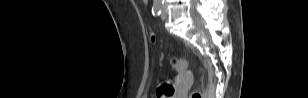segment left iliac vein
<instances>
[{
    "label": "left iliac vein",
    "mask_w": 308,
    "mask_h": 98,
    "mask_svg": "<svg viewBox=\"0 0 308 98\" xmlns=\"http://www.w3.org/2000/svg\"><path fill=\"white\" fill-rule=\"evenodd\" d=\"M167 16H168V14H167V10H166V8L165 7H162V12H161V19L162 20H166L167 19Z\"/></svg>",
    "instance_id": "left-iliac-vein-1"
}]
</instances>
